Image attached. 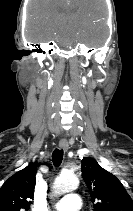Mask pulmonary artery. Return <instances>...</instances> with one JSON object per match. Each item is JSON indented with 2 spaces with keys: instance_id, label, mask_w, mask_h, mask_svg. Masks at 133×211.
Masks as SVG:
<instances>
[{
  "instance_id": "pulmonary-artery-1",
  "label": "pulmonary artery",
  "mask_w": 133,
  "mask_h": 211,
  "mask_svg": "<svg viewBox=\"0 0 133 211\" xmlns=\"http://www.w3.org/2000/svg\"><path fill=\"white\" fill-rule=\"evenodd\" d=\"M56 211H78L81 208V198L76 193H70L54 203Z\"/></svg>"
}]
</instances>
